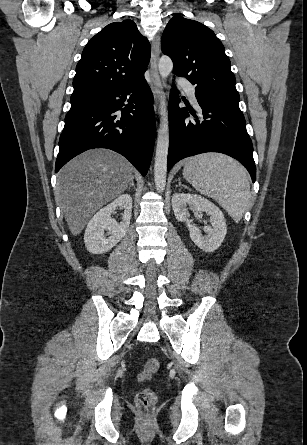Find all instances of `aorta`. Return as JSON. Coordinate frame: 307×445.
Returning a JSON list of instances; mask_svg holds the SVG:
<instances>
[{
  "label": "aorta",
  "instance_id": "762f6f07",
  "mask_svg": "<svg viewBox=\"0 0 307 445\" xmlns=\"http://www.w3.org/2000/svg\"><path fill=\"white\" fill-rule=\"evenodd\" d=\"M173 68V62L170 56H161L158 60V70L161 78L165 80L168 74H170ZM160 124L157 136V146L155 152V164H154V180L155 186L159 192H162L166 184V172H167V154L169 146V132H168V116H167V104L166 96H161L160 102Z\"/></svg>",
  "mask_w": 307,
  "mask_h": 445
}]
</instances>
